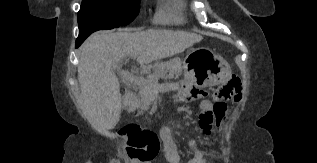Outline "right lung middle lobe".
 <instances>
[{
	"label": "right lung middle lobe",
	"mask_w": 317,
	"mask_h": 163,
	"mask_svg": "<svg viewBox=\"0 0 317 163\" xmlns=\"http://www.w3.org/2000/svg\"><path fill=\"white\" fill-rule=\"evenodd\" d=\"M140 0H83L78 12L79 36L84 41L97 30L129 24L139 13Z\"/></svg>",
	"instance_id": "dd1d6c3e"
}]
</instances>
